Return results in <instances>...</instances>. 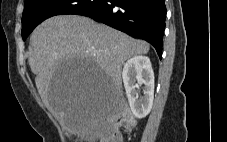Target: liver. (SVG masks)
<instances>
[{
  "mask_svg": "<svg viewBox=\"0 0 227 142\" xmlns=\"http://www.w3.org/2000/svg\"><path fill=\"white\" fill-rule=\"evenodd\" d=\"M30 46L28 62L43 103L69 132L81 135L103 114L100 96L121 97L124 62L149 51L147 42L77 15L45 20ZM59 61H94L100 78H91L94 88H61L60 81H52Z\"/></svg>",
  "mask_w": 227,
  "mask_h": 142,
  "instance_id": "6515ba94",
  "label": "liver"
}]
</instances>
